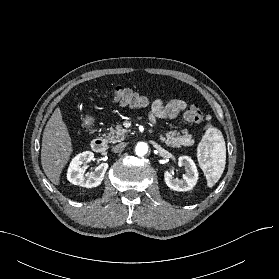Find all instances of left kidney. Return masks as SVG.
I'll return each instance as SVG.
<instances>
[{"label":"left kidney","instance_id":"5707ae66","mask_svg":"<svg viewBox=\"0 0 279 279\" xmlns=\"http://www.w3.org/2000/svg\"><path fill=\"white\" fill-rule=\"evenodd\" d=\"M180 166H184L186 174L183 175L182 179H176L168 171L164 173V180L166 185L174 191H190L196 185L198 180V171L194 161L188 156H180L178 158Z\"/></svg>","mask_w":279,"mask_h":279}]
</instances>
